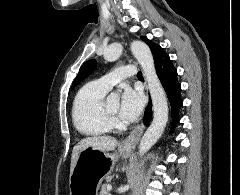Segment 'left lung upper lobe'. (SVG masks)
Here are the masks:
<instances>
[{
	"label": "left lung upper lobe",
	"instance_id": "left-lung-upper-lobe-1",
	"mask_svg": "<svg viewBox=\"0 0 240 195\" xmlns=\"http://www.w3.org/2000/svg\"><path fill=\"white\" fill-rule=\"evenodd\" d=\"M141 39L149 45L152 55L154 57V62L160 60L161 58L167 55L159 45L152 43L147 37L142 36ZM96 65H97V62L95 59H91L85 62L80 68V71L72 84V88H74L83 79L89 76L95 69Z\"/></svg>",
	"mask_w": 240,
	"mask_h": 195
}]
</instances>
